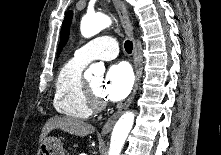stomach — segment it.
<instances>
[{
	"instance_id": "1",
	"label": "stomach",
	"mask_w": 221,
	"mask_h": 155,
	"mask_svg": "<svg viewBox=\"0 0 221 155\" xmlns=\"http://www.w3.org/2000/svg\"><path fill=\"white\" fill-rule=\"evenodd\" d=\"M37 155H65L62 142L55 137H47L40 145Z\"/></svg>"
}]
</instances>
